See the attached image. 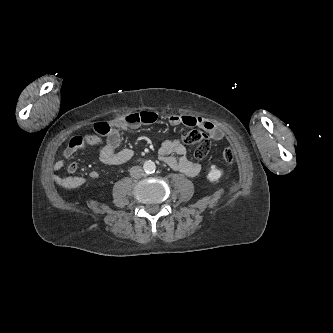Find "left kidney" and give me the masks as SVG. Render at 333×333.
I'll return each mask as SVG.
<instances>
[{
  "label": "left kidney",
  "instance_id": "1",
  "mask_svg": "<svg viewBox=\"0 0 333 333\" xmlns=\"http://www.w3.org/2000/svg\"><path fill=\"white\" fill-rule=\"evenodd\" d=\"M223 175V170L218 169L215 165H211L210 171L207 175V179L210 182H216L218 181Z\"/></svg>",
  "mask_w": 333,
  "mask_h": 333
}]
</instances>
